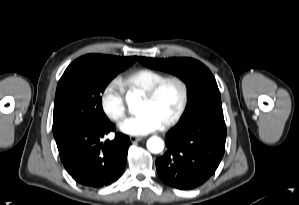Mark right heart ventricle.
Masks as SVG:
<instances>
[{"label": "right heart ventricle", "mask_w": 299, "mask_h": 205, "mask_svg": "<svg viewBox=\"0 0 299 205\" xmlns=\"http://www.w3.org/2000/svg\"><path fill=\"white\" fill-rule=\"evenodd\" d=\"M164 78H166V75L161 72L141 68L119 78L118 83L129 92L142 94Z\"/></svg>", "instance_id": "1"}]
</instances>
